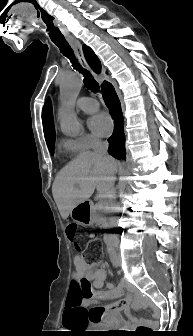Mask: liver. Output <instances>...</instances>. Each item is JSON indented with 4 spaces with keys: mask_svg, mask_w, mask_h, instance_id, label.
<instances>
[{
    "mask_svg": "<svg viewBox=\"0 0 193 336\" xmlns=\"http://www.w3.org/2000/svg\"><path fill=\"white\" fill-rule=\"evenodd\" d=\"M116 161L106 160L92 151L79 154L56 176L52 186L53 198L63 219L71 210L88 200L97 189L101 196L110 192L108 178L116 172Z\"/></svg>",
    "mask_w": 193,
    "mask_h": 336,
    "instance_id": "liver-1",
    "label": "liver"
}]
</instances>
